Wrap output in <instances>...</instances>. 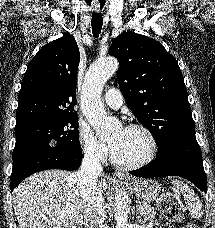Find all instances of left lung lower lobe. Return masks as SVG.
I'll return each instance as SVG.
<instances>
[{
	"mask_svg": "<svg viewBox=\"0 0 215 228\" xmlns=\"http://www.w3.org/2000/svg\"><path fill=\"white\" fill-rule=\"evenodd\" d=\"M130 173L142 178L180 176L207 192L206 174L195 132L168 141L158 149L155 161Z\"/></svg>",
	"mask_w": 215,
	"mask_h": 228,
	"instance_id": "0a47b994",
	"label": "left lung lower lobe"
}]
</instances>
